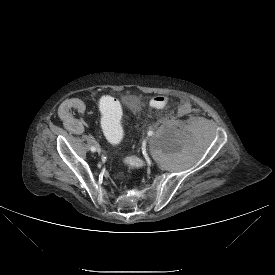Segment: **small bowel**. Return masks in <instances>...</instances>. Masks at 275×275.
<instances>
[{
  "label": "small bowel",
  "instance_id": "obj_1",
  "mask_svg": "<svg viewBox=\"0 0 275 275\" xmlns=\"http://www.w3.org/2000/svg\"><path fill=\"white\" fill-rule=\"evenodd\" d=\"M83 102L77 101H63L58 108V117L63 120L67 127L75 134H81L84 130V122L82 119V114L84 113ZM77 112L79 117L73 114Z\"/></svg>",
  "mask_w": 275,
  "mask_h": 275
}]
</instances>
